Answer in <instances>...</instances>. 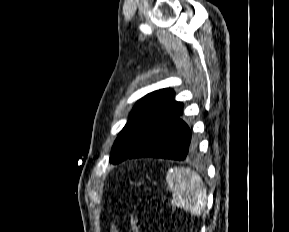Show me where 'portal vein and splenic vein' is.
<instances>
[{"label": "portal vein and splenic vein", "mask_w": 289, "mask_h": 232, "mask_svg": "<svg viewBox=\"0 0 289 232\" xmlns=\"http://www.w3.org/2000/svg\"><path fill=\"white\" fill-rule=\"evenodd\" d=\"M172 196H173V197H175V196H176V194H175V193H173V194H172Z\"/></svg>", "instance_id": "obj_1"}]
</instances>
